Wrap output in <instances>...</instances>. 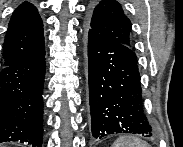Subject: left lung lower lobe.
Masks as SVG:
<instances>
[{
    "mask_svg": "<svg viewBox=\"0 0 183 147\" xmlns=\"http://www.w3.org/2000/svg\"><path fill=\"white\" fill-rule=\"evenodd\" d=\"M92 135L133 133L150 137L154 129L143 111L140 75L132 48L94 31L86 32Z\"/></svg>",
    "mask_w": 183,
    "mask_h": 147,
    "instance_id": "1",
    "label": "left lung lower lobe"
}]
</instances>
